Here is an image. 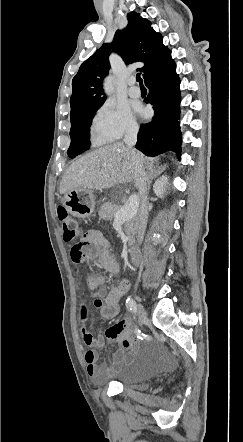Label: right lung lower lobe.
Listing matches in <instances>:
<instances>
[{
	"mask_svg": "<svg viewBox=\"0 0 243 442\" xmlns=\"http://www.w3.org/2000/svg\"><path fill=\"white\" fill-rule=\"evenodd\" d=\"M144 81L149 89L144 101L152 105L155 115L149 123L140 126L136 148L147 156L171 150L180 157V80L170 51Z\"/></svg>",
	"mask_w": 243,
	"mask_h": 442,
	"instance_id": "98d812e1",
	"label": "right lung lower lobe"
}]
</instances>
